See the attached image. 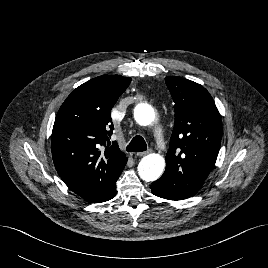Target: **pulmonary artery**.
Returning a JSON list of instances; mask_svg holds the SVG:
<instances>
[{"label":"pulmonary artery","instance_id":"1","mask_svg":"<svg viewBox=\"0 0 268 268\" xmlns=\"http://www.w3.org/2000/svg\"><path fill=\"white\" fill-rule=\"evenodd\" d=\"M153 139L157 144H164L163 138H162V134L160 132H155L153 135Z\"/></svg>","mask_w":268,"mask_h":268}]
</instances>
